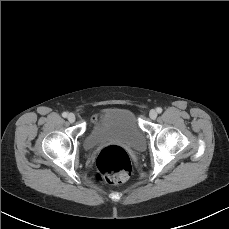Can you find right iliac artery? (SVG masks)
Returning a JSON list of instances; mask_svg holds the SVG:
<instances>
[{"mask_svg": "<svg viewBox=\"0 0 229 229\" xmlns=\"http://www.w3.org/2000/svg\"><path fill=\"white\" fill-rule=\"evenodd\" d=\"M62 116H63L64 118H66V117L68 116V113H67V112H63V113H62Z\"/></svg>", "mask_w": 229, "mask_h": 229, "instance_id": "1", "label": "right iliac artery"}]
</instances>
